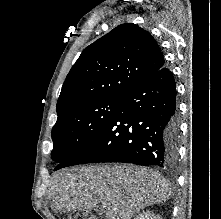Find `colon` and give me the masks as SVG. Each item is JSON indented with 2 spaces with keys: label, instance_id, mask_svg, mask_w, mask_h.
<instances>
[{
  "label": "colon",
  "instance_id": "obj_1",
  "mask_svg": "<svg viewBox=\"0 0 221 219\" xmlns=\"http://www.w3.org/2000/svg\"><path fill=\"white\" fill-rule=\"evenodd\" d=\"M69 219H95L92 215L77 211L73 213Z\"/></svg>",
  "mask_w": 221,
  "mask_h": 219
}]
</instances>
